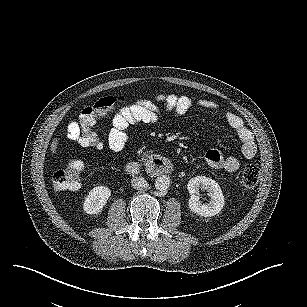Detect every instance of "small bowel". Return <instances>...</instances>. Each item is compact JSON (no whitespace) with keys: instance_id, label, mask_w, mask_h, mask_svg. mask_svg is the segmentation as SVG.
I'll return each mask as SVG.
<instances>
[{"instance_id":"small-bowel-1","label":"small bowel","mask_w":307,"mask_h":307,"mask_svg":"<svg viewBox=\"0 0 307 307\" xmlns=\"http://www.w3.org/2000/svg\"><path fill=\"white\" fill-rule=\"evenodd\" d=\"M156 100L164 103L165 113L173 118L184 116L194 105L205 110L217 109L213 101L200 99L194 101L187 95L161 94ZM160 117V110L153 101L140 99L131 105L122 107L113 117L108 133L107 143L111 150L120 151L128 141V129L139 123L152 124ZM225 119L229 126L236 132L241 141L243 155L251 159L257 153V146L252 132L246 127L240 116L232 112H226ZM68 138L79 141L80 128L72 122L68 126ZM207 164L215 169H223L235 172L240 167L239 160L234 156H224L217 149H210L205 154Z\"/></svg>"}]
</instances>
